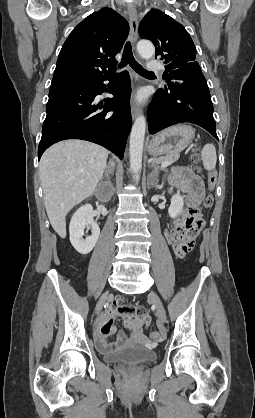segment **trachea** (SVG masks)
Listing matches in <instances>:
<instances>
[{
    "instance_id": "3493384b",
    "label": "trachea",
    "mask_w": 255,
    "mask_h": 418,
    "mask_svg": "<svg viewBox=\"0 0 255 418\" xmlns=\"http://www.w3.org/2000/svg\"><path fill=\"white\" fill-rule=\"evenodd\" d=\"M127 64L131 66V68L140 75H151L154 72L147 71L144 69L134 58L132 53V48L130 42H127L124 47L122 60L120 63V67H124Z\"/></svg>"
}]
</instances>
